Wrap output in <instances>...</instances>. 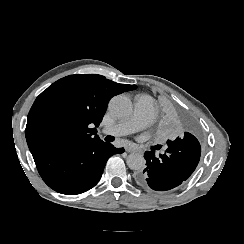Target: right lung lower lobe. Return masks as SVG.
Segmentation results:
<instances>
[{"mask_svg":"<svg viewBox=\"0 0 244 244\" xmlns=\"http://www.w3.org/2000/svg\"><path fill=\"white\" fill-rule=\"evenodd\" d=\"M124 152L101 139L32 154L39 174L53 190L67 195L88 191L100 180L108 158Z\"/></svg>","mask_w":244,"mask_h":244,"instance_id":"right-lung-lower-lobe-1","label":"right lung lower lobe"}]
</instances>
